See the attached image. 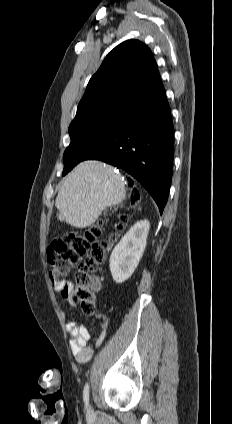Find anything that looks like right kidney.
Listing matches in <instances>:
<instances>
[{
	"mask_svg": "<svg viewBox=\"0 0 232 424\" xmlns=\"http://www.w3.org/2000/svg\"><path fill=\"white\" fill-rule=\"evenodd\" d=\"M149 227L147 220L137 222L113 249L110 271L116 283L126 281L137 268L146 247Z\"/></svg>",
	"mask_w": 232,
	"mask_h": 424,
	"instance_id": "1",
	"label": "right kidney"
}]
</instances>
